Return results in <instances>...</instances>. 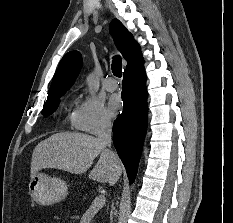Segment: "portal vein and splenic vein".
Here are the masks:
<instances>
[{
	"instance_id": "1",
	"label": "portal vein and splenic vein",
	"mask_w": 233,
	"mask_h": 223,
	"mask_svg": "<svg viewBox=\"0 0 233 223\" xmlns=\"http://www.w3.org/2000/svg\"><path fill=\"white\" fill-rule=\"evenodd\" d=\"M105 201H106V197L101 193V195H97V197H95L94 201H92V205H99V207H102Z\"/></svg>"
}]
</instances>
